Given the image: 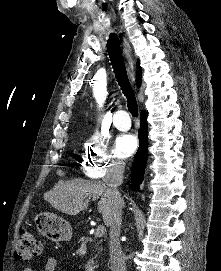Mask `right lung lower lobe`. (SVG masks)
<instances>
[{"mask_svg": "<svg viewBox=\"0 0 221 271\" xmlns=\"http://www.w3.org/2000/svg\"><path fill=\"white\" fill-rule=\"evenodd\" d=\"M140 146L136 153V157L131 168V178L133 188L140 191L139 184L143 180L145 166L148 157V130H147V114L145 111L141 112L140 116V131H139Z\"/></svg>", "mask_w": 221, "mask_h": 271, "instance_id": "1", "label": "right lung lower lobe"}]
</instances>
